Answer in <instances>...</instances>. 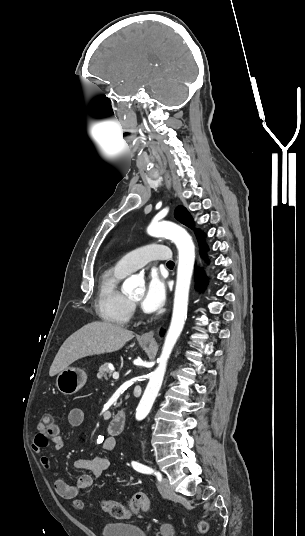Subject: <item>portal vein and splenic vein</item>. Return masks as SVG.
Masks as SVG:
<instances>
[{"label":"portal vein and splenic vein","instance_id":"obj_1","mask_svg":"<svg viewBox=\"0 0 305 536\" xmlns=\"http://www.w3.org/2000/svg\"><path fill=\"white\" fill-rule=\"evenodd\" d=\"M113 378H114V380H118V378H119V372H114V374H113Z\"/></svg>","mask_w":305,"mask_h":536}]
</instances>
